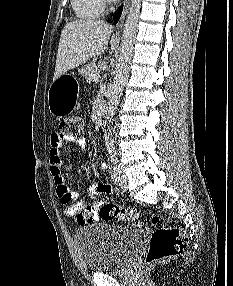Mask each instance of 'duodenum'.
Returning <instances> with one entry per match:
<instances>
[{"label":"duodenum","instance_id":"duodenum-1","mask_svg":"<svg viewBox=\"0 0 233 286\" xmlns=\"http://www.w3.org/2000/svg\"><path fill=\"white\" fill-rule=\"evenodd\" d=\"M99 123H100V126L102 128H104L106 126V123H107V112H106L105 108H102L99 111Z\"/></svg>","mask_w":233,"mask_h":286}]
</instances>
